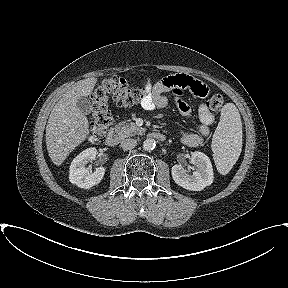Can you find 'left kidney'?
Masks as SVG:
<instances>
[{"instance_id": "5707ae66", "label": "left kidney", "mask_w": 288, "mask_h": 288, "mask_svg": "<svg viewBox=\"0 0 288 288\" xmlns=\"http://www.w3.org/2000/svg\"><path fill=\"white\" fill-rule=\"evenodd\" d=\"M191 163L196 166V170L192 174H189L182 165H174L171 170L173 180L187 190L201 191L213 183L211 161L206 154L195 151L191 153Z\"/></svg>"}]
</instances>
